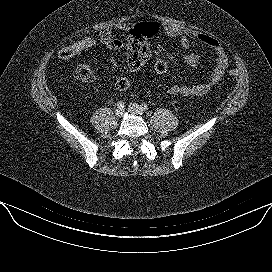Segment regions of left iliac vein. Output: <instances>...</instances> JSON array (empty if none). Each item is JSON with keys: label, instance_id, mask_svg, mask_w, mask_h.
<instances>
[{"label": "left iliac vein", "instance_id": "obj_1", "mask_svg": "<svg viewBox=\"0 0 272 272\" xmlns=\"http://www.w3.org/2000/svg\"><path fill=\"white\" fill-rule=\"evenodd\" d=\"M128 111L139 116H142L144 113L142 107L136 103L129 104Z\"/></svg>", "mask_w": 272, "mask_h": 272}]
</instances>
